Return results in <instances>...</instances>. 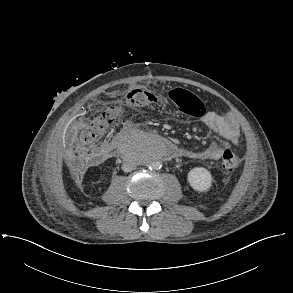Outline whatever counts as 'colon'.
<instances>
[{
	"instance_id": "5ec220e1",
	"label": "colon",
	"mask_w": 293,
	"mask_h": 293,
	"mask_svg": "<svg viewBox=\"0 0 293 293\" xmlns=\"http://www.w3.org/2000/svg\"><path fill=\"white\" fill-rule=\"evenodd\" d=\"M172 98L183 112L194 114L198 98L193 93L184 89H176L172 93ZM152 103L151 93L147 90L142 88H134L130 90L122 104L108 107L88 123L80 133L81 143L88 146L98 141L122 116L124 108L144 107ZM238 164L239 158L236 154L230 149L225 148L221 158L222 168L226 171H232L237 168Z\"/></svg>"
}]
</instances>
